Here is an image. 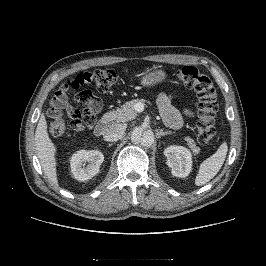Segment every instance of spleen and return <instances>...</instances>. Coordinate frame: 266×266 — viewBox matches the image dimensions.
<instances>
[{"instance_id": "1", "label": "spleen", "mask_w": 266, "mask_h": 266, "mask_svg": "<svg viewBox=\"0 0 266 266\" xmlns=\"http://www.w3.org/2000/svg\"><path fill=\"white\" fill-rule=\"evenodd\" d=\"M227 151V143L224 142L213 155L200 164L199 172L195 178L196 186H203L216 176L224 164Z\"/></svg>"}]
</instances>
